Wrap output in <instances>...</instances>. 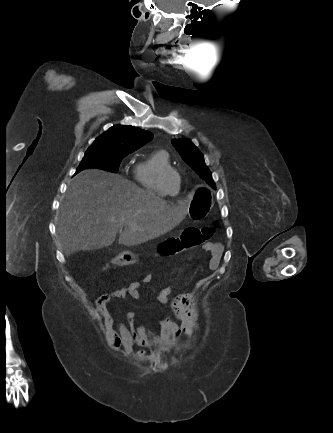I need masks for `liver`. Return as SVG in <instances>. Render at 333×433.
<instances>
[{
    "instance_id": "6515ba94",
    "label": "liver",
    "mask_w": 333,
    "mask_h": 433,
    "mask_svg": "<svg viewBox=\"0 0 333 433\" xmlns=\"http://www.w3.org/2000/svg\"><path fill=\"white\" fill-rule=\"evenodd\" d=\"M187 208V201L166 203L120 175L86 169L69 182L57 233L66 256L110 246L118 233L122 245L135 246L171 231Z\"/></svg>"
}]
</instances>
